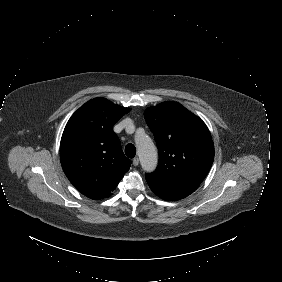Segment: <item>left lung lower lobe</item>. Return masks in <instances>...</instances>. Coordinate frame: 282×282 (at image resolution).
Listing matches in <instances>:
<instances>
[{
  "mask_svg": "<svg viewBox=\"0 0 282 282\" xmlns=\"http://www.w3.org/2000/svg\"><path fill=\"white\" fill-rule=\"evenodd\" d=\"M145 177L151 190L160 198L168 201L185 198L193 193L199 186V184L185 181H170L154 176L153 174H145Z\"/></svg>",
  "mask_w": 282,
  "mask_h": 282,
  "instance_id": "obj_1",
  "label": "left lung lower lobe"
}]
</instances>
